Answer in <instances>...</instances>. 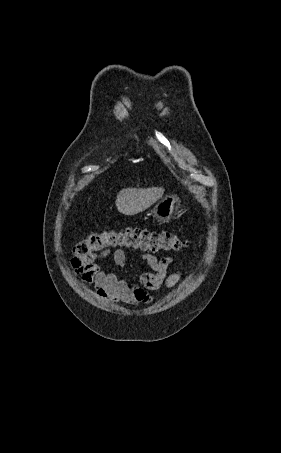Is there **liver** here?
Listing matches in <instances>:
<instances>
[{
	"label": "liver",
	"mask_w": 281,
	"mask_h": 453,
	"mask_svg": "<svg viewBox=\"0 0 281 453\" xmlns=\"http://www.w3.org/2000/svg\"><path fill=\"white\" fill-rule=\"evenodd\" d=\"M165 188H122L116 196V206L122 214H138L162 198Z\"/></svg>",
	"instance_id": "obj_1"
}]
</instances>
